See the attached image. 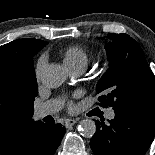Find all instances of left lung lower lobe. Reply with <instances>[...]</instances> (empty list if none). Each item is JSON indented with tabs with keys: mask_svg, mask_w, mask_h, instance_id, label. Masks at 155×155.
<instances>
[{
	"mask_svg": "<svg viewBox=\"0 0 155 155\" xmlns=\"http://www.w3.org/2000/svg\"><path fill=\"white\" fill-rule=\"evenodd\" d=\"M155 137V103L115 111L109 124L96 121L90 141L95 155H144Z\"/></svg>",
	"mask_w": 155,
	"mask_h": 155,
	"instance_id": "0a47b994",
	"label": "left lung lower lobe"
}]
</instances>
